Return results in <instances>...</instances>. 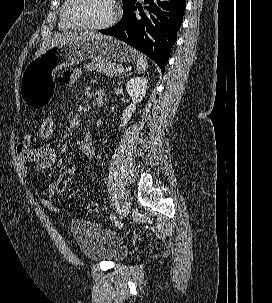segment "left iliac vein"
<instances>
[{"instance_id":"left-iliac-vein-1","label":"left iliac vein","mask_w":272,"mask_h":303,"mask_svg":"<svg viewBox=\"0 0 272 303\" xmlns=\"http://www.w3.org/2000/svg\"><path fill=\"white\" fill-rule=\"evenodd\" d=\"M130 209H131L130 202L125 201L124 204L122 205L121 212H120L121 218H125L129 214Z\"/></svg>"}]
</instances>
